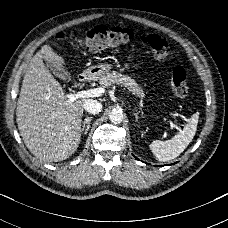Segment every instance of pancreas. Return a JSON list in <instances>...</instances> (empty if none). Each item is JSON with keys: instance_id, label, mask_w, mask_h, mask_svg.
Segmentation results:
<instances>
[{"instance_id": "1", "label": "pancreas", "mask_w": 228, "mask_h": 228, "mask_svg": "<svg viewBox=\"0 0 228 228\" xmlns=\"http://www.w3.org/2000/svg\"><path fill=\"white\" fill-rule=\"evenodd\" d=\"M100 84L107 87H111L112 85L117 84L124 85L132 92L133 95H136L138 97L144 96V91L140 89L139 85L135 82L133 78L125 76L116 71L102 77Z\"/></svg>"}]
</instances>
